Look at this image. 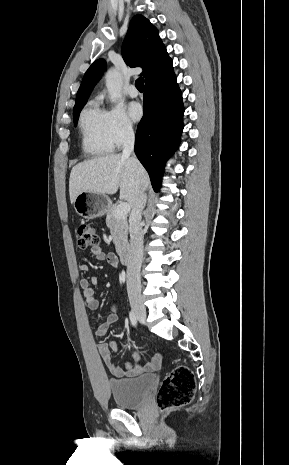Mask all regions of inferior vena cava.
<instances>
[{"instance_id":"1","label":"inferior vena cava","mask_w":289,"mask_h":465,"mask_svg":"<svg viewBox=\"0 0 289 465\" xmlns=\"http://www.w3.org/2000/svg\"><path fill=\"white\" fill-rule=\"evenodd\" d=\"M135 136L133 129L127 127L123 134V158L138 162L134 155ZM145 188H141L129 218L130 251L127 264V292L130 302L141 296L140 269L143 258V232L141 227L142 210L146 205Z\"/></svg>"}]
</instances>
